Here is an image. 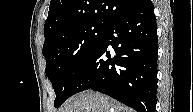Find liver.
<instances>
[{"mask_svg": "<svg viewBox=\"0 0 193 112\" xmlns=\"http://www.w3.org/2000/svg\"><path fill=\"white\" fill-rule=\"evenodd\" d=\"M59 112H133L101 93L84 91L66 101Z\"/></svg>", "mask_w": 193, "mask_h": 112, "instance_id": "6515ba94", "label": "liver"}]
</instances>
